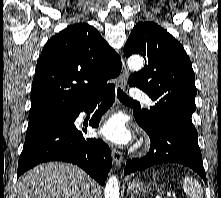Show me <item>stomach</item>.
<instances>
[{
    "label": "stomach",
    "mask_w": 221,
    "mask_h": 198,
    "mask_svg": "<svg viewBox=\"0 0 221 198\" xmlns=\"http://www.w3.org/2000/svg\"><path fill=\"white\" fill-rule=\"evenodd\" d=\"M128 191L132 194H140L146 192V188L141 181L136 180L128 184Z\"/></svg>",
    "instance_id": "stomach-1"
}]
</instances>
